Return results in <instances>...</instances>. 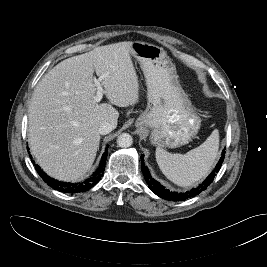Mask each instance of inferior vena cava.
Wrapping results in <instances>:
<instances>
[{
    "mask_svg": "<svg viewBox=\"0 0 267 267\" xmlns=\"http://www.w3.org/2000/svg\"><path fill=\"white\" fill-rule=\"evenodd\" d=\"M114 129V126L109 122H103L99 127V133L101 135H106Z\"/></svg>",
    "mask_w": 267,
    "mask_h": 267,
    "instance_id": "obj_1",
    "label": "inferior vena cava"
}]
</instances>
